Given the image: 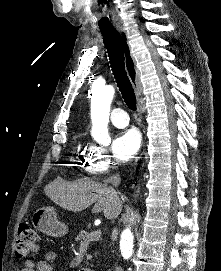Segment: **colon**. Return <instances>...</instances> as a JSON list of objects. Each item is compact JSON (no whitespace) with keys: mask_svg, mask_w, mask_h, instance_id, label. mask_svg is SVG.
Listing matches in <instances>:
<instances>
[{"mask_svg":"<svg viewBox=\"0 0 221 271\" xmlns=\"http://www.w3.org/2000/svg\"><path fill=\"white\" fill-rule=\"evenodd\" d=\"M37 250L38 235L30 225L26 223H21L18 229L15 255L19 259H23L37 253Z\"/></svg>","mask_w":221,"mask_h":271,"instance_id":"5ec220e1","label":"colon"}]
</instances>
